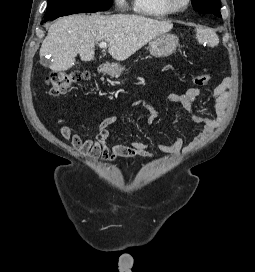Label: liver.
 Masks as SVG:
<instances>
[{
	"instance_id": "6515ba94",
	"label": "liver",
	"mask_w": 255,
	"mask_h": 272,
	"mask_svg": "<svg viewBox=\"0 0 255 272\" xmlns=\"http://www.w3.org/2000/svg\"><path fill=\"white\" fill-rule=\"evenodd\" d=\"M172 28L169 21L141 15H69L50 26L40 48V57H51V70L65 71L73 67L77 54L82 61L93 60L95 44L105 41L109 44L108 53L117 61H124Z\"/></svg>"
}]
</instances>
